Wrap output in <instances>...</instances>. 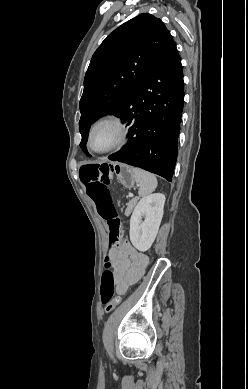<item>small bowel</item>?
<instances>
[{
    "instance_id": "c3829d8e",
    "label": "small bowel",
    "mask_w": 248,
    "mask_h": 389,
    "mask_svg": "<svg viewBox=\"0 0 248 389\" xmlns=\"http://www.w3.org/2000/svg\"><path fill=\"white\" fill-rule=\"evenodd\" d=\"M109 260L116 269L118 295L125 294L129 286L140 280L149 264L148 256L135 249L127 240L110 250Z\"/></svg>"
}]
</instances>
